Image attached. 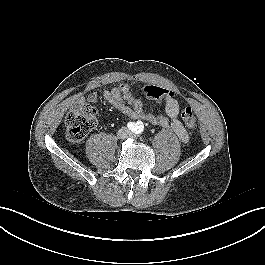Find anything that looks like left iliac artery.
<instances>
[{
  "instance_id": "obj_1",
  "label": "left iliac artery",
  "mask_w": 265,
  "mask_h": 265,
  "mask_svg": "<svg viewBox=\"0 0 265 265\" xmlns=\"http://www.w3.org/2000/svg\"><path fill=\"white\" fill-rule=\"evenodd\" d=\"M143 130H144V125H143V123L141 122V121H138L137 122V130H136V133H141V132H143Z\"/></svg>"
}]
</instances>
